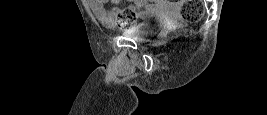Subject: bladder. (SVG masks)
Here are the masks:
<instances>
[{
    "instance_id": "31cf9c89",
    "label": "bladder",
    "mask_w": 267,
    "mask_h": 115,
    "mask_svg": "<svg viewBox=\"0 0 267 115\" xmlns=\"http://www.w3.org/2000/svg\"><path fill=\"white\" fill-rule=\"evenodd\" d=\"M149 16L154 17L153 14H150ZM123 33L125 36L133 39H147L153 35V30L144 25H137L124 30Z\"/></svg>"
}]
</instances>
